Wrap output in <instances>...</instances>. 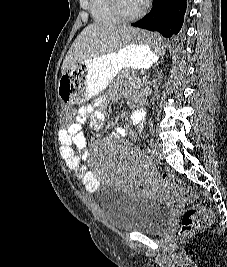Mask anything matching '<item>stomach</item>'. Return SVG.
Instances as JSON below:
<instances>
[{"label": "stomach", "mask_w": 227, "mask_h": 267, "mask_svg": "<svg viewBox=\"0 0 227 267\" xmlns=\"http://www.w3.org/2000/svg\"><path fill=\"white\" fill-rule=\"evenodd\" d=\"M160 56L154 55L152 47L131 40L118 51L73 64L59 77L58 101L80 106L94 99L93 95L103 91L121 71L149 68Z\"/></svg>", "instance_id": "stomach-1"}]
</instances>
